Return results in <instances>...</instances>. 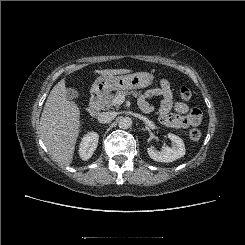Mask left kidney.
Wrapping results in <instances>:
<instances>
[{"instance_id": "left-kidney-1", "label": "left kidney", "mask_w": 245, "mask_h": 245, "mask_svg": "<svg viewBox=\"0 0 245 245\" xmlns=\"http://www.w3.org/2000/svg\"><path fill=\"white\" fill-rule=\"evenodd\" d=\"M168 138L172 141V147H164L162 151L154 150L153 148H148L147 153L151 159L157 162H173L185 155V146L183 140L172 134H168Z\"/></svg>"}]
</instances>
